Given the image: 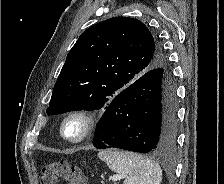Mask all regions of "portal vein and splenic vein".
Returning <instances> with one entry per match:
<instances>
[{"instance_id": "1", "label": "portal vein and splenic vein", "mask_w": 224, "mask_h": 184, "mask_svg": "<svg viewBox=\"0 0 224 184\" xmlns=\"http://www.w3.org/2000/svg\"><path fill=\"white\" fill-rule=\"evenodd\" d=\"M122 178H123V176H121V175H113V176L111 177L112 181H114V182L119 181V180H121Z\"/></svg>"}]
</instances>
